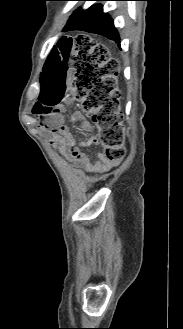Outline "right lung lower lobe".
Returning <instances> with one entry per match:
<instances>
[{
  "label": "right lung lower lobe",
  "mask_w": 183,
  "mask_h": 329,
  "mask_svg": "<svg viewBox=\"0 0 183 329\" xmlns=\"http://www.w3.org/2000/svg\"><path fill=\"white\" fill-rule=\"evenodd\" d=\"M67 29L82 30L100 34L115 41L119 40V35L114 27L113 20L108 14L103 12L100 4L93 5L87 10H76L68 21ZM87 65L89 68H93L90 64H85L83 66L87 67Z\"/></svg>",
  "instance_id": "obj_1"
}]
</instances>
